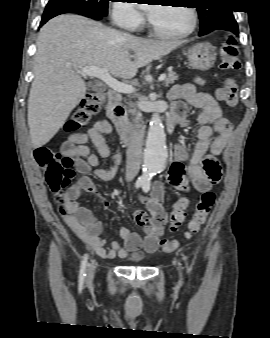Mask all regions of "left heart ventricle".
<instances>
[{"instance_id": "left-heart-ventricle-1", "label": "left heart ventricle", "mask_w": 270, "mask_h": 338, "mask_svg": "<svg viewBox=\"0 0 270 338\" xmlns=\"http://www.w3.org/2000/svg\"><path fill=\"white\" fill-rule=\"evenodd\" d=\"M151 19L155 27L164 33H180L191 25V15L186 7H151Z\"/></svg>"}]
</instances>
